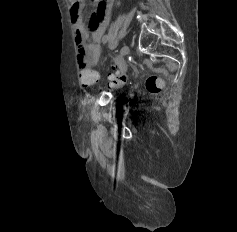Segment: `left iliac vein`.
<instances>
[{
  "label": "left iliac vein",
  "mask_w": 237,
  "mask_h": 232,
  "mask_svg": "<svg viewBox=\"0 0 237 232\" xmlns=\"http://www.w3.org/2000/svg\"><path fill=\"white\" fill-rule=\"evenodd\" d=\"M130 52V49L127 45H124L121 50H120V55H119V59H122L123 57H125L126 55H128Z\"/></svg>",
  "instance_id": "1"
}]
</instances>
